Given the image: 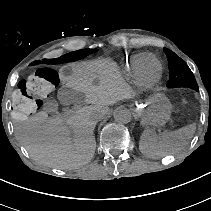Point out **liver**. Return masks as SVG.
<instances>
[{"label":"liver","mask_w":211,"mask_h":211,"mask_svg":"<svg viewBox=\"0 0 211 211\" xmlns=\"http://www.w3.org/2000/svg\"><path fill=\"white\" fill-rule=\"evenodd\" d=\"M93 65H74L72 74L60 79L78 93L85 95V106L68 119L48 118L41 111L24 120L16 121V139L30 155L43 165L57 169H74L87 164L94 155L96 141L95 114L101 118L108 112L107 106L127 98L130 93L118 80H106L93 84L89 73Z\"/></svg>","instance_id":"obj_1"}]
</instances>
